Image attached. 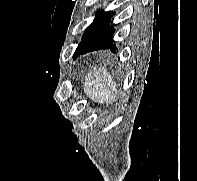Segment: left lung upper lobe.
Segmentation results:
<instances>
[{
	"label": "left lung upper lobe",
	"mask_w": 197,
	"mask_h": 181,
	"mask_svg": "<svg viewBox=\"0 0 197 181\" xmlns=\"http://www.w3.org/2000/svg\"><path fill=\"white\" fill-rule=\"evenodd\" d=\"M105 14L104 11H99L96 13L95 19L93 20V22L87 27L85 33L83 34L82 40L79 43L73 57L76 58L77 52L83 47V45L87 42V40L89 39V37L91 36L92 32L94 31V29L96 28L98 22L100 21V19L103 17V15Z\"/></svg>",
	"instance_id": "obj_1"
}]
</instances>
